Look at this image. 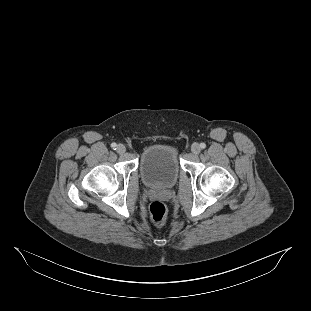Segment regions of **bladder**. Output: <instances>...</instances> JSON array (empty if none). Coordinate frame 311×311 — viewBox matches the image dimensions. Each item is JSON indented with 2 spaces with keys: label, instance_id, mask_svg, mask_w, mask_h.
Wrapping results in <instances>:
<instances>
[{
  "label": "bladder",
  "instance_id": "bladder-1",
  "mask_svg": "<svg viewBox=\"0 0 311 311\" xmlns=\"http://www.w3.org/2000/svg\"><path fill=\"white\" fill-rule=\"evenodd\" d=\"M177 147L172 143L149 146L140 161L143 182L152 188H169L176 184L180 173Z\"/></svg>",
  "mask_w": 311,
  "mask_h": 311
}]
</instances>
